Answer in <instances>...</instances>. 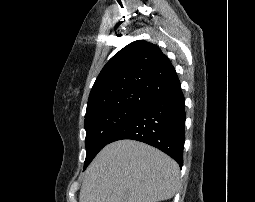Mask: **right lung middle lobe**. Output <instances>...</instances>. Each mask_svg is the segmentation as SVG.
I'll return each instance as SVG.
<instances>
[{
	"mask_svg": "<svg viewBox=\"0 0 255 202\" xmlns=\"http://www.w3.org/2000/svg\"><path fill=\"white\" fill-rule=\"evenodd\" d=\"M139 109L113 108L85 117L86 130V159L84 170L96 154L108 144L110 138L125 124Z\"/></svg>",
	"mask_w": 255,
	"mask_h": 202,
	"instance_id": "right-lung-middle-lobe-1",
	"label": "right lung middle lobe"
}]
</instances>
